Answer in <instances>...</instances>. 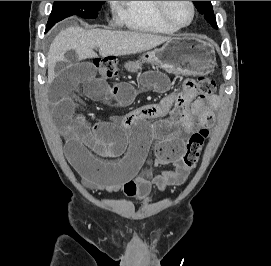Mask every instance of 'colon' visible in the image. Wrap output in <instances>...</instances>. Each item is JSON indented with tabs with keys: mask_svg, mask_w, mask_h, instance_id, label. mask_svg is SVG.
<instances>
[{
	"mask_svg": "<svg viewBox=\"0 0 271 266\" xmlns=\"http://www.w3.org/2000/svg\"><path fill=\"white\" fill-rule=\"evenodd\" d=\"M94 66L103 79H110L118 73V63L113 58L95 59ZM215 89V82L209 76L199 78H188L183 82L182 90L179 93L181 97H197L204 99L210 97ZM206 128L195 131L186 142V149L179 166L181 172L189 175L199 160L200 153L208 138Z\"/></svg>",
	"mask_w": 271,
	"mask_h": 266,
	"instance_id": "colon-1",
	"label": "colon"
}]
</instances>
